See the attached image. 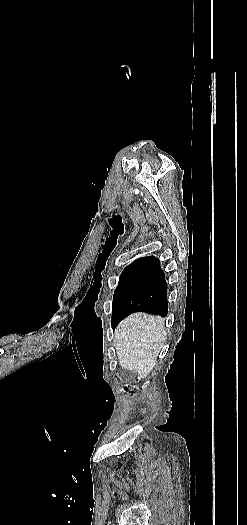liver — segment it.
<instances>
[{"label": "liver", "mask_w": 247, "mask_h": 525, "mask_svg": "<svg viewBox=\"0 0 247 525\" xmlns=\"http://www.w3.org/2000/svg\"><path fill=\"white\" fill-rule=\"evenodd\" d=\"M164 323L163 317L147 313H133L119 323L113 347L121 369L135 371L141 379L148 377L165 347L167 333Z\"/></svg>", "instance_id": "liver-1"}]
</instances>
